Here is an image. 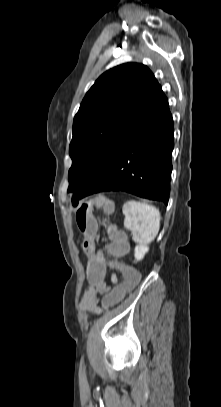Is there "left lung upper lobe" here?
Returning a JSON list of instances; mask_svg holds the SVG:
<instances>
[{
    "label": "left lung upper lobe",
    "instance_id": "5c2ea615",
    "mask_svg": "<svg viewBox=\"0 0 221 407\" xmlns=\"http://www.w3.org/2000/svg\"><path fill=\"white\" fill-rule=\"evenodd\" d=\"M159 86L142 64L126 63L103 73L74 117L68 192L72 200L97 176L123 132Z\"/></svg>",
    "mask_w": 221,
    "mask_h": 407
}]
</instances>
